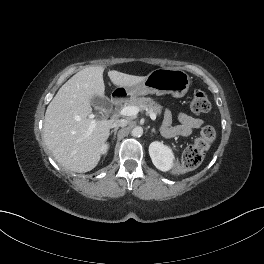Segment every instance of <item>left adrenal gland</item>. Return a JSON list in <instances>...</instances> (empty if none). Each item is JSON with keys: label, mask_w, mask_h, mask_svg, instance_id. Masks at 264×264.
I'll return each instance as SVG.
<instances>
[{"label": "left adrenal gland", "mask_w": 264, "mask_h": 264, "mask_svg": "<svg viewBox=\"0 0 264 264\" xmlns=\"http://www.w3.org/2000/svg\"><path fill=\"white\" fill-rule=\"evenodd\" d=\"M151 132L155 133V130H154V129H152V130H151Z\"/></svg>", "instance_id": "left-adrenal-gland-1"}]
</instances>
